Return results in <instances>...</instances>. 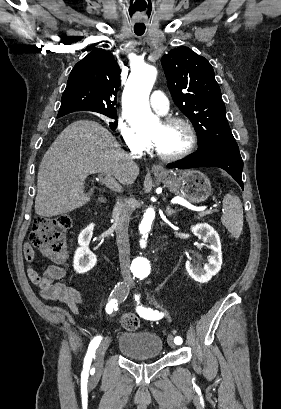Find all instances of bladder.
Here are the masks:
<instances>
[{
  "label": "bladder",
  "mask_w": 281,
  "mask_h": 409,
  "mask_svg": "<svg viewBox=\"0 0 281 409\" xmlns=\"http://www.w3.org/2000/svg\"><path fill=\"white\" fill-rule=\"evenodd\" d=\"M116 348L120 354L134 362L153 361L161 359L164 340L152 330L121 329L116 339Z\"/></svg>",
  "instance_id": "bladder-1"
}]
</instances>
